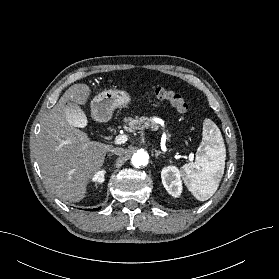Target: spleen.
I'll return each mask as SVG.
<instances>
[{
	"label": "spleen",
	"mask_w": 279,
	"mask_h": 279,
	"mask_svg": "<svg viewBox=\"0 0 279 279\" xmlns=\"http://www.w3.org/2000/svg\"><path fill=\"white\" fill-rule=\"evenodd\" d=\"M202 134L195 161L182 166L181 176L194 197L206 201L219 187L224 174L226 149L219 128L210 119L204 120Z\"/></svg>",
	"instance_id": "spleen-1"
}]
</instances>
